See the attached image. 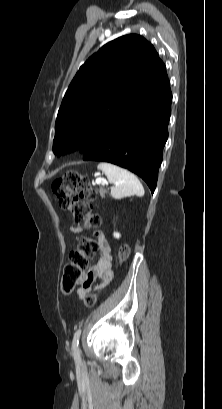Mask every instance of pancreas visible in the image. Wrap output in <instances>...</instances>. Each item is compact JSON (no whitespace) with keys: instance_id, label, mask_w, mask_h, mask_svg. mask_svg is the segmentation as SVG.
Listing matches in <instances>:
<instances>
[{"instance_id":"pancreas-1","label":"pancreas","mask_w":222,"mask_h":409,"mask_svg":"<svg viewBox=\"0 0 222 409\" xmlns=\"http://www.w3.org/2000/svg\"><path fill=\"white\" fill-rule=\"evenodd\" d=\"M97 192L100 193L102 198H105V194L107 193V190L104 188H100L99 190H97Z\"/></svg>"}]
</instances>
